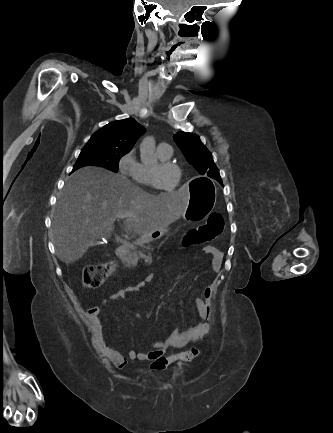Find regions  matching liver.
I'll return each instance as SVG.
<instances>
[{
	"mask_svg": "<svg viewBox=\"0 0 333 433\" xmlns=\"http://www.w3.org/2000/svg\"><path fill=\"white\" fill-rule=\"evenodd\" d=\"M187 192L151 195L126 177L101 167L86 166L67 177L53 216L58 258L66 264L79 260L100 238L110 239L116 215L130 216L125 232L149 236L184 215Z\"/></svg>",
	"mask_w": 333,
	"mask_h": 433,
	"instance_id": "liver-1",
	"label": "liver"
}]
</instances>
